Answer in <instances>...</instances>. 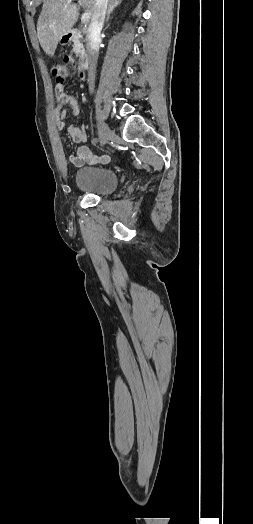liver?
I'll return each mask as SVG.
<instances>
[{"mask_svg":"<svg viewBox=\"0 0 253 524\" xmlns=\"http://www.w3.org/2000/svg\"><path fill=\"white\" fill-rule=\"evenodd\" d=\"M93 15L95 0H79ZM78 19V7L72 0H43L37 22V37L44 52L53 56L60 38L71 31Z\"/></svg>","mask_w":253,"mask_h":524,"instance_id":"6515ba94","label":"liver"}]
</instances>
